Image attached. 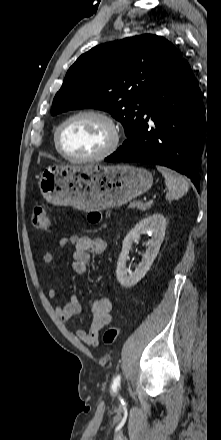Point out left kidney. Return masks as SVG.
Wrapping results in <instances>:
<instances>
[{"label":"left kidney","instance_id":"1","mask_svg":"<svg viewBox=\"0 0 221 440\" xmlns=\"http://www.w3.org/2000/svg\"><path fill=\"white\" fill-rule=\"evenodd\" d=\"M166 224V218L160 213H155L139 221L126 235L116 269L117 280L123 287L130 288L136 285L150 269L163 242ZM143 234L151 236L146 243V253L135 271L129 272L126 268L129 250L133 242L139 240Z\"/></svg>","mask_w":221,"mask_h":440}]
</instances>
